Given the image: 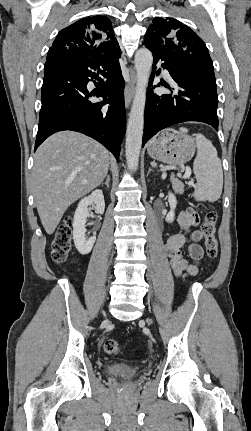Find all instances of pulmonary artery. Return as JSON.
I'll use <instances>...</instances> for the list:
<instances>
[{"mask_svg":"<svg viewBox=\"0 0 251 431\" xmlns=\"http://www.w3.org/2000/svg\"><path fill=\"white\" fill-rule=\"evenodd\" d=\"M162 73H163L164 77H166L167 79H170V78H171L170 73L168 72V70L164 69V70L162 71Z\"/></svg>","mask_w":251,"mask_h":431,"instance_id":"e3ab8cb5","label":"pulmonary artery"}]
</instances>
